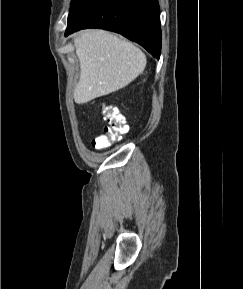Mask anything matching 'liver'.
Instances as JSON below:
<instances>
[{
    "instance_id": "6515ba94",
    "label": "liver",
    "mask_w": 243,
    "mask_h": 289,
    "mask_svg": "<svg viewBox=\"0 0 243 289\" xmlns=\"http://www.w3.org/2000/svg\"><path fill=\"white\" fill-rule=\"evenodd\" d=\"M74 43L80 62V77L74 90L77 104L126 87L145 69V54L107 31L85 30Z\"/></svg>"
}]
</instances>
